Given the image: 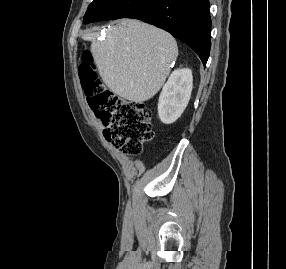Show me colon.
<instances>
[{
	"instance_id": "1",
	"label": "colon",
	"mask_w": 286,
	"mask_h": 269,
	"mask_svg": "<svg viewBox=\"0 0 286 269\" xmlns=\"http://www.w3.org/2000/svg\"><path fill=\"white\" fill-rule=\"evenodd\" d=\"M79 73L88 103L105 126L106 139L122 153L139 156L143 143L152 139L154 134L151 111L142 102L123 101L108 91L89 58L81 62Z\"/></svg>"
}]
</instances>
